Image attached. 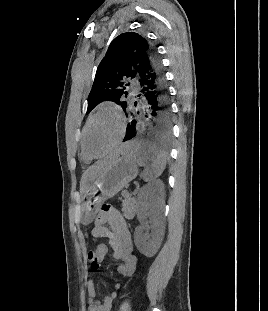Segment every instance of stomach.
Masks as SVG:
<instances>
[{"label":"stomach","instance_id":"obj_1","mask_svg":"<svg viewBox=\"0 0 268 311\" xmlns=\"http://www.w3.org/2000/svg\"><path fill=\"white\" fill-rule=\"evenodd\" d=\"M140 147H126L121 157H117L93 182L84 195L81 206V220L89 225L99 211L100 205L115 196L138 175L137 154Z\"/></svg>","mask_w":268,"mask_h":311}]
</instances>
